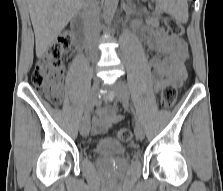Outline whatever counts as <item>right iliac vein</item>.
I'll return each instance as SVG.
<instances>
[{
	"label": "right iliac vein",
	"instance_id": "1",
	"mask_svg": "<svg viewBox=\"0 0 223 191\" xmlns=\"http://www.w3.org/2000/svg\"><path fill=\"white\" fill-rule=\"evenodd\" d=\"M99 88H100V82L98 80H95L87 98V107L89 108V110L95 105L97 101ZM89 131H90V115L88 111L87 113L84 114L81 120L80 133L82 136L86 137L89 134Z\"/></svg>",
	"mask_w": 223,
	"mask_h": 191
}]
</instances>
